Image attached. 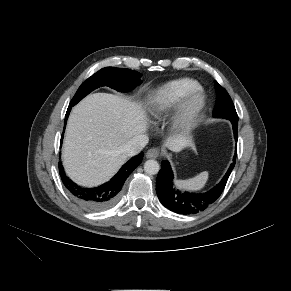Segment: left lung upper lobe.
<instances>
[{"instance_id": "1", "label": "left lung upper lobe", "mask_w": 291, "mask_h": 291, "mask_svg": "<svg viewBox=\"0 0 291 291\" xmlns=\"http://www.w3.org/2000/svg\"><path fill=\"white\" fill-rule=\"evenodd\" d=\"M215 89H216V105L213 110L214 117H226V115L230 117H236L237 113L234 107V104L231 100V97L227 93V91L215 81ZM225 114V115H221Z\"/></svg>"}]
</instances>
